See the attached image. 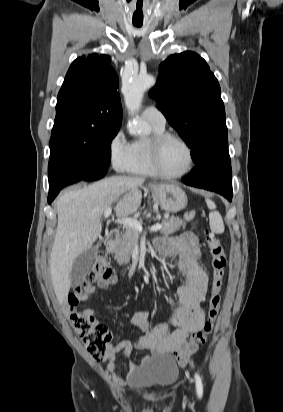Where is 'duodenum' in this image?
<instances>
[{
    "label": "duodenum",
    "instance_id": "1",
    "mask_svg": "<svg viewBox=\"0 0 283 412\" xmlns=\"http://www.w3.org/2000/svg\"><path fill=\"white\" fill-rule=\"evenodd\" d=\"M118 236H119V230L117 228L110 229L106 237V240H105L106 245L112 246L117 241Z\"/></svg>",
    "mask_w": 283,
    "mask_h": 412
}]
</instances>
